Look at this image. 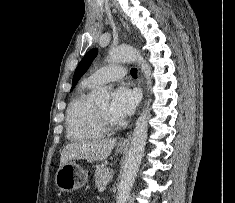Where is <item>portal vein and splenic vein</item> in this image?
I'll return each instance as SVG.
<instances>
[{
    "label": "portal vein and splenic vein",
    "instance_id": "portal-vein-and-splenic-vein-1",
    "mask_svg": "<svg viewBox=\"0 0 235 203\" xmlns=\"http://www.w3.org/2000/svg\"><path fill=\"white\" fill-rule=\"evenodd\" d=\"M105 189H106V185H103L98 188V191L103 192Z\"/></svg>",
    "mask_w": 235,
    "mask_h": 203
}]
</instances>
